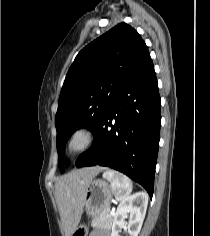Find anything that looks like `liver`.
Segmentation results:
<instances>
[{
    "label": "liver",
    "instance_id": "obj_1",
    "mask_svg": "<svg viewBox=\"0 0 210 236\" xmlns=\"http://www.w3.org/2000/svg\"><path fill=\"white\" fill-rule=\"evenodd\" d=\"M104 169L100 166L78 169L56 181L55 195L65 236H71L78 227L86 189L93 178Z\"/></svg>",
    "mask_w": 210,
    "mask_h": 236
}]
</instances>
